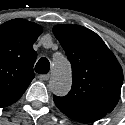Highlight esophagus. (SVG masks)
<instances>
[{"label":"esophagus","mask_w":125,"mask_h":125,"mask_svg":"<svg viewBox=\"0 0 125 125\" xmlns=\"http://www.w3.org/2000/svg\"><path fill=\"white\" fill-rule=\"evenodd\" d=\"M49 74H44V75H39L38 78L41 80V81H47L49 79Z\"/></svg>","instance_id":"obj_1"}]
</instances>
